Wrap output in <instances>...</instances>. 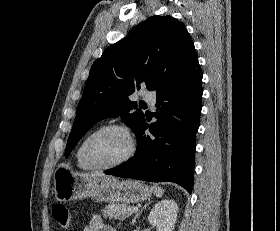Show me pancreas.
I'll list each match as a JSON object with an SVG mask.
<instances>
[{
  "label": "pancreas",
  "mask_w": 280,
  "mask_h": 231,
  "mask_svg": "<svg viewBox=\"0 0 280 231\" xmlns=\"http://www.w3.org/2000/svg\"><path fill=\"white\" fill-rule=\"evenodd\" d=\"M127 207H129L127 203H108V205H105L104 209H102V215L103 217L125 219V217H129V215H131Z\"/></svg>",
  "instance_id": "cf45deb5"
}]
</instances>
